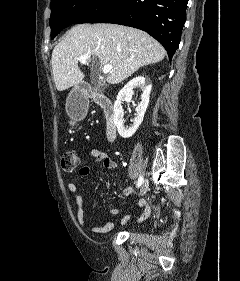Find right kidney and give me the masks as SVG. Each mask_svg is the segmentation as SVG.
<instances>
[{
    "mask_svg": "<svg viewBox=\"0 0 240 281\" xmlns=\"http://www.w3.org/2000/svg\"><path fill=\"white\" fill-rule=\"evenodd\" d=\"M139 87L142 90L141 102L136 107V117L133 124L128 128L124 126V111L123 102H130L133 96V89ZM152 85L146 81L143 76L136 77L129 81L118 93L117 99L114 103V123L117 127L118 133L122 138H129L133 136L143 121L146 109L149 104V95Z\"/></svg>",
    "mask_w": 240,
    "mask_h": 281,
    "instance_id": "right-kidney-1",
    "label": "right kidney"
}]
</instances>
